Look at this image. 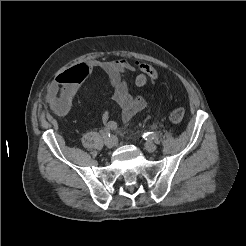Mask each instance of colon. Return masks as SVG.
Instances as JSON below:
<instances>
[{"label":"colon","mask_w":246,"mask_h":246,"mask_svg":"<svg viewBox=\"0 0 246 246\" xmlns=\"http://www.w3.org/2000/svg\"><path fill=\"white\" fill-rule=\"evenodd\" d=\"M137 66L140 70V73L136 77V84L138 86H144L148 81H155L158 78V73L156 70L147 63L137 62ZM185 116V110L182 107H177L173 109L170 113V120L173 123H180Z\"/></svg>","instance_id":"obj_1"}]
</instances>
